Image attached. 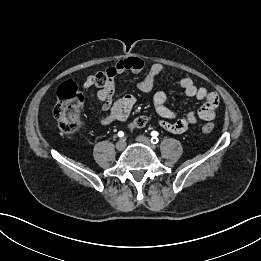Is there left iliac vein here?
<instances>
[{"label":"left iliac vein","instance_id":"obj_1","mask_svg":"<svg viewBox=\"0 0 261 261\" xmlns=\"http://www.w3.org/2000/svg\"><path fill=\"white\" fill-rule=\"evenodd\" d=\"M137 141H139V142H141V143H143V144L149 146V147L152 148V149H155V145H153V144L151 143L150 139H149L148 137H146V136L139 135V136L137 137Z\"/></svg>","mask_w":261,"mask_h":261}]
</instances>
